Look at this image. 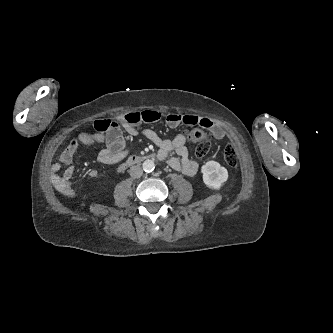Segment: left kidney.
I'll return each mask as SVG.
<instances>
[{"label": "left kidney", "instance_id": "left-kidney-1", "mask_svg": "<svg viewBox=\"0 0 333 333\" xmlns=\"http://www.w3.org/2000/svg\"><path fill=\"white\" fill-rule=\"evenodd\" d=\"M204 184L212 189H219L228 179L227 169L216 161H208L201 167Z\"/></svg>", "mask_w": 333, "mask_h": 333}]
</instances>
